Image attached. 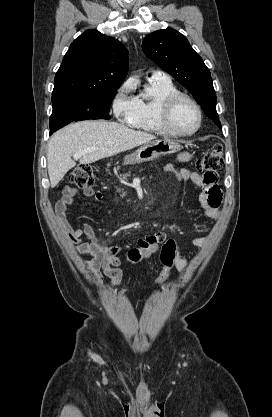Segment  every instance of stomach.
<instances>
[{
  "label": "stomach",
  "instance_id": "stomach-1",
  "mask_svg": "<svg viewBox=\"0 0 272 417\" xmlns=\"http://www.w3.org/2000/svg\"><path fill=\"white\" fill-rule=\"evenodd\" d=\"M181 146L177 143L166 140L154 139L144 143L135 152L126 155L124 158L125 164H137L147 161L155 160L161 156L174 153L178 151Z\"/></svg>",
  "mask_w": 272,
  "mask_h": 417
}]
</instances>
